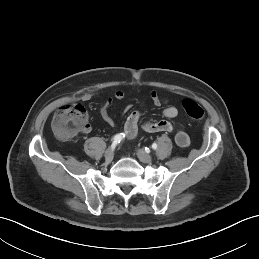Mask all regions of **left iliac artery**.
<instances>
[{"label": "left iliac artery", "mask_w": 259, "mask_h": 259, "mask_svg": "<svg viewBox=\"0 0 259 259\" xmlns=\"http://www.w3.org/2000/svg\"><path fill=\"white\" fill-rule=\"evenodd\" d=\"M152 148L155 150V149H157V144L156 143H153L152 144Z\"/></svg>", "instance_id": "obj_1"}]
</instances>
